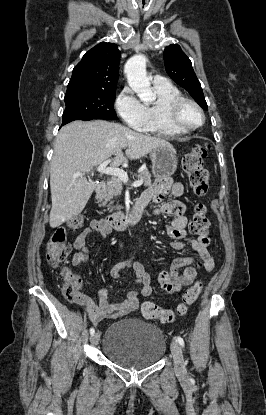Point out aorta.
Wrapping results in <instances>:
<instances>
[{
  "mask_svg": "<svg viewBox=\"0 0 266 415\" xmlns=\"http://www.w3.org/2000/svg\"><path fill=\"white\" fill-rule=\"evenodd\" d=\"M125 73L129 86L144 104L153 100V92L146 73V58L144 55H135L125 64Z\"/></svg>",
  "mask_w": 266,
  "mask_h": 415,
  "instance_id": "aorta-1",
  "label": "aorta"
}]
</instances>
